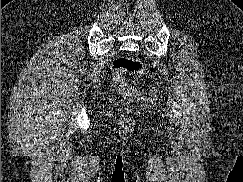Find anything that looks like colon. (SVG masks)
<instances>
[{"instance_id": "colon-1", "label": "colon", "mask_w": 243, "mask_h": 182, "mask_svg": "<svg viewBox=\"0 0 243 182\" xmlns=\"http://www.w3.org/2000/svg\"><path fill=\"white\" fill-rule=\"evenodd\" d=\"M143 63L127 56L116 58L111 64L112 84L122 94H133V88L125 79L126 74H136L143 70Z\"/></svg>"}]
</instances>
